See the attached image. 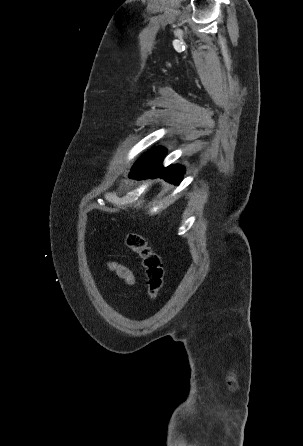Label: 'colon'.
Returning a JSON list of instances; mask_svg holds the SVG:
<instances>
[{
	"label": "colon",
	"mask_w": 303,
	"mask_h": 446,
	"mask_svg": "<svg viewBox=\"0 0 303 446\" xmlns=\"http://www.w3.org/2000/svg\"><path fill=\"white\" fill-rule=\"evenodd\" d=\"M126 246L141 260L145 270L147 293L150 299H156L164 280V267L161 257L148 244L147 239L138 233H129Z\"/></svg>",
	"instance_id": "1"
}]
</instances>
